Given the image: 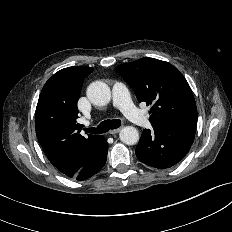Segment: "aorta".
Masks as SVG:
<instances>
[{
    "instance_id": "aorta-1",
    "label": "aorta",
    "mask_w": 232,
    "mask_h": 232,
    "mask_svg": "<svg viewBox=\"0 0 232 232\" xmlns=\"http://www.w3.org/2000/svg\"><path fill=\"white\" fill-rule=\"evenodd\" d=\"M87 97L92 104L105 106L111 100V91L106 83L94 81L87 88ZM119 138L127 145H134L139 141V132L133 126H126L121 129Z\"/></svg>"
}]
</instances>
